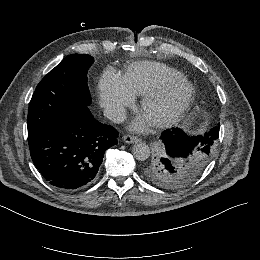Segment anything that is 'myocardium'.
<instances>
[{"label":"myocardium","mask_w":260,"mask_h":260,"mask_svg":"<svg viewBox=\"0 0 260 260\" xmlns=\"http://www.w3.org/2000/svg\"><path fill=\"white\" fill-rule=\"evenodd\" d=\"M182 84L186 88V95L183 101L166 112L162 117L152 120V126L156 129L168 128L178 122L180 118L191 107L196 90L192 82L184 76L177 79L167 80L162 82L159 86L146 93L140 103V108L144 111L149 110L156 106V104L163 98L165 93L173 86Z\"/></svg>","instance_id":"myocardium-1"}]
</instances>
